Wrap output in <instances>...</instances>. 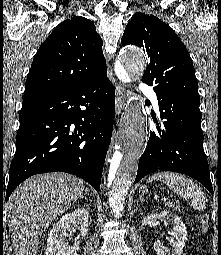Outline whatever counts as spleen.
<instances>
[{"instance_id":"obj_1","label":"spleen","mask_w":221,"mask_h":255,"mask_svg":"<svg viewBox=\"0 0 221 255\" xmlns=\"http://www.w3.org/2000/svg\"><path fill=\"white\" fill-rule=\"evenodd\" d=\"M160 180L165 183L173 192L191 201V206L198 211L206 209L207 199L192 180L183 175L173 172H159L148 178V182Z\"/></svg>"}]
</instances>
